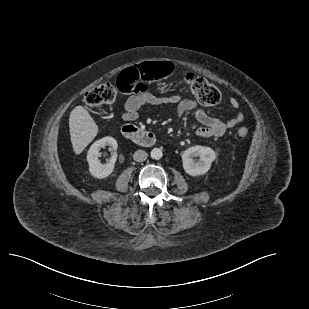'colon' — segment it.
Segmentation results:
<instances>
[{"label":"colon","mask_w":309,"mask_h":309,"mask_svg":"<svg viewBox=\"0 0 309 309\" xmlns=\"http://www.w3.org/2000/svg\"><path fill=\"white\" fill-rule=\"evenodd\" d=\"M172 70V64L167 61L144 63L120 73L117 80V88L124 93L137 90L145 86V82H152L167 77ZM125 76L131 79L134 89L126 88L124 84H120V80ZM185 81L191 93L201 104L212 106L221 101L219 90L206 79L189 73L186 75ZM117 88L111 83L100 84L85 94L84 101L90 107H99L112 103L117 97ZM247 134L248 130L245 127H240L237 130V135L240 138L246 137Z\"/></svg>","instance_id":"obj_1"}]
</instances>
